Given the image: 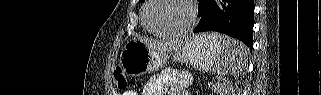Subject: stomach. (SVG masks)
<instances>
[{
	"instance_id": "1",
	"label": "stomach",
	"mask_w": 321,
	"mask_h": 95,
	"mask_svg": "<svg viewBox=\"0 0 321 95\" xmlns=\"http://www.w3.org/2000/svg\"><path fill=\"white\" fill-rule=\"evenodd\" d=\"M222 52V44L217 38L200 34L185 41L171 56L197 70L209 72L215 69ZM168 58L167 52L156 51L144 42L132 39L121 51L120 66L126 75L137 77L160 69Z\"/></svg>"
}]
</instances>
